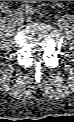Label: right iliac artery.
Instances as JSON below:
<instances>
[{
  "mask_svg": "<svg viewBox=\"0 0 74 122\" xmlns=\"http://www.w3.org/2000/svg\"><path fill=\"white\" fill-rule=\"evenodd\" d=\"M0 8L2 9L3 12H6L9 10V5L7 3H2Z\"/></svg>",
  "mask_w": 74,
  "mask_h": 122,
  "instance_id": "1",
  "label": "right iliac artery"
}]
</instances>
